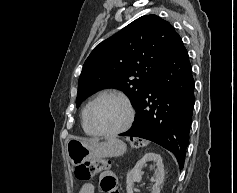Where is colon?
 I'll return each instance as SVG.
<instances>
[{
	"mask_svg": "<svg viewBox=\"0 0 237 193\" xmlns=\"http://www.w3.org/2000/svg\"><path fill=\"white\" fill-rule=\"evenodd\" d=\"M139 145V142H135ZM110 167V162L108 160H96L91 162H86L76 167L75 176L78 180L82 182H89L95 174L100 171L106 170Z\"/></svg>",
	"mask_w": 237,
	"mask_h": 193,
	"instance_id": "1",
	"label": "colon"
}]
</instances>
